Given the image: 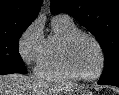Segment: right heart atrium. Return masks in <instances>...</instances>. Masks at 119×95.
I'll use <instances>...</instances> for the list:
<instances>
[{"instance_id":"obj_1","label":"right heart atrium","mask_w":119,"mask_h":95,"mask_svg":"<svg viewBox=\"0 0 119 95\" xmlns=\"http://www.w3.org/2000/svg\"><path fill=\"white\" fill-rule=\"evenodd\" d=\"M45 38L41 23L33 21L21 34L18 42V50L22 60L28 66H37Z\"/></svg>"}]
</instances>
